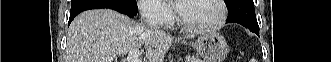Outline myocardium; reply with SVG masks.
<instances>
[{"label":"myocardium","mask_w":331,"mask_h":62,"mask_svg":"<svg viewBox=\"0 0 331 62\" xmlns=\"http://www.w3.org/2000/svg\"><path fill=\"white\" fill-rule=\"evenodd\" d=\"M215 1L220 8V16L216 22H214L211 25H206V26H194V25L188 24L181 15L180 7L176 5L177 22H178L179 26H181L186 31L193 32V33H206V32H212V31L220 29L227 20L228 11H227V6H226V3L224 0H215Z\"/></svg>","instance_id":"obj_1"}]
</instances>
